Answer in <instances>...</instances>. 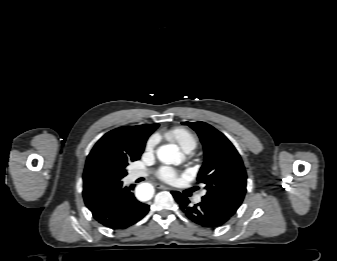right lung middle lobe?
<instances>
[{
	"label": "right lung middle lobe",
	"mask_w": 337,
	"mask_h": 261,
	"mask_svg": "<svg viewBox=\"0 0 337 261\" xmlns=\"http://www.w3.org/2000/svg\"><path fill=\"white\" fill-rule=\"evenodd\" d=\"M127 172L125 168L115 169L108 167L99 168L94 176L95 180L101 184H114L119 182L124 176H126Z\"/></svg>",
	"instance_id": "obj_1"
}]
</instances>
